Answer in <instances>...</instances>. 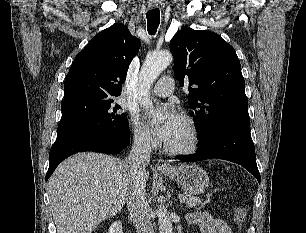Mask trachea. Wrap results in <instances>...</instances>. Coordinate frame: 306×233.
Masks as SVG:
<instances>
[{
	"label": "trachea",
	"instance_id": "1",
	"mask_svg": "<svg viewBox=\"0 0 306 233\" xmlns=\"http://www.w3.org/2000/svg\"><path fill=\"white\" fill-rule=\"evenodd\" d=\"M148 23V33L154 35L158 29L160 23V11L159 9L149 10L146 14Z\"/></svg>",
	"mask_w": 306,
	"mask_h": 233
}]
</instances>
